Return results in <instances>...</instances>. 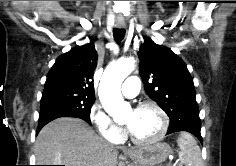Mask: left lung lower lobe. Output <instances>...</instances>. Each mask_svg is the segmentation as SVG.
I'll use <instances>...</instances> for the list:
<instances>
[{"mask_svg": "<svg viewBox=\"0 0 236 166\" xmlns=\"http://www.w3.org/2000/svg\"><path fill=\"white\" fill-rule=\"evenodd\" d=\"M200 129H201V121L199 118V111L197 108L194 111H191V113H189L188 115L173 122H170L167 134L179 131H186L195 135L202 142Z\"/></svg>", "mask_w": 236, "mask_h": 166, "instance_id": "0a47b994", "label": "left lung lower lobe"}]
</instances>
